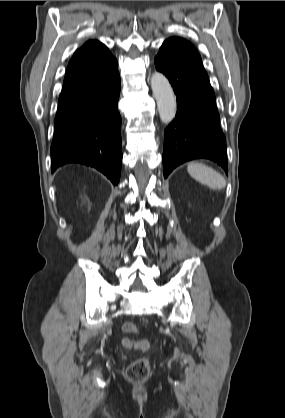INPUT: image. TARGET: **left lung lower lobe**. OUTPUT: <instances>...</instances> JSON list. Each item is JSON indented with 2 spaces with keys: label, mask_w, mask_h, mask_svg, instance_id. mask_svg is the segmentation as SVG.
I'll return each mask as SVG.
<instances>
[{
  "label": "left lung lower lobe",
  "mask_w": 285,
  "mask_h": 418,
  "mask_svg": "<svg viewBox=\"0 0 285 418\" xmlns=\"http://www.w3.org/2000/svg\"><path fill=\"white\" fill-rule=\"evenodd\" d=\"M154 62L177 95L175 119L164 132V177L197 158L210 159L228 172L215 94L196 48L183 38L171 37L162 44Z\"/></svg>",
  "instance_id": "0a47b994"
}]
</instances>
